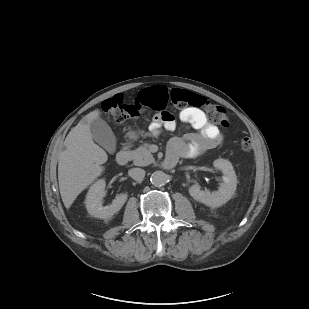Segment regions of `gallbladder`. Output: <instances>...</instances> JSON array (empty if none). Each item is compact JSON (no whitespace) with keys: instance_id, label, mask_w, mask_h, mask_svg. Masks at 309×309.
<instances>
[{"instance_id":"bac80fb5","label":"gallbladder","mask_w":309,"mask_h":309,"mask_svg":"<svg viewBox=\"0 0 309 309\" xmlns=\"http://www.w3.org/2000/svg\"><path fill=\"white\" fill-rule=\"evenodd\" d=\"M90 131L93 140L113 154L116 150V138L110 126L103 119H94L90 122Z\"/></svg>"}]
</instances>
